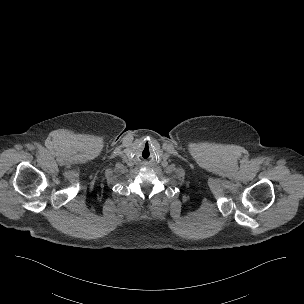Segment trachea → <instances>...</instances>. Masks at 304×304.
<instances>
[{
  "mask_svg": "<svg viewBox=\"0 0 304 304\" xmlns=\"http://www.w3.org/2000/svg\"><path fill=\"white\" fill-rule=\"evenodd\" d=\"M139 156L142 159H147L151 156V149L149 147H142L139 151Z\"/></svg>",
  "mask_w": 304,
  "mask_h": 304,
  "instance_id": "1",
  "label": "trachea"
}]
</instances>
